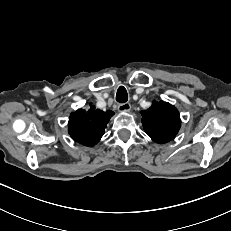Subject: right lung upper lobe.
<instances>
[{"instance_id": "1", "label": "right lung upper lobe", "mask_w": 231, "mask_h": 231, "mask_svg": "<svg viewBox=\"0 0 231 231\" xmlns=\"http://www.w3.org/2000/svg\"><path fill=\"white\" fill-rule=\"evenodd\" d=\"M112 111L103 112L90 103L88 110L79 109L70 114L68 132L78 143L94 146L104 134L106 124L113 116Z\"/></svg>"}]
</instances>
